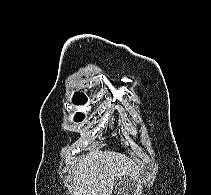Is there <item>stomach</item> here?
<instances>
[{
    "instance_id": "obj_1",
    "label": "stomach",
    "mask_w": 211,
    "mask_h": 195,
    "mask_svg": "<svg viewBox=\"0 0 211 195\" xmlns=\"http://www.w3.org/2000/svg\"><path fill=\"white\" fill-rule=\"evenodd\" d=\"M123 185H131V181L129 180V178L127 176L125 177H120L117 181V185L115 186V188L117 189L118 187H123ZM133 185V183H132ZM127 192H121V195H126Z\"/></svg>"
}]
</instances>
